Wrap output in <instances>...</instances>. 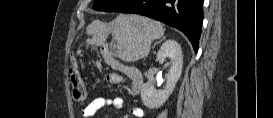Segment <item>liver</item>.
<instances>
[{
    "label": "liver",
    "instance_id": "1",
    "mask_svg": "<svg viewBox=\"0 0 273 118\" xmlns=\"http://www.w3.org/2000/svg\"><path fill=\"white\" fill-rule=\"evenodd\" d=\"M87 31L93 34L86 42L92 46L107 47L109 34L122 49L118 57L125 62H134L146 57L150 52L151 43L163 37V25L150 18L139 15H118L112 22L94 20Z\"/></svg>",
    "mask_w": 273,
    "mask_h": 118
}]
</instances>
